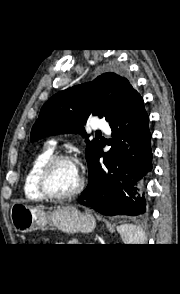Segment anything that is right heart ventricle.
<instances>
[{"mask_svg":"<svg viewBox=\"0 0 180 294\" xmlns=\"http://www.w3.org/2000/svg\"><path fill=\"white\" fill-rule=\"evenodd\" d=\"M53 156V149L46 148L37 154L31 162V165L25 175L23 190L27 197L43 200L44 197L40 194L37 188V174L41 166Z\"/></svg>","mask_w":180,"mask_h":294,"instance_id":"obj_1","label":"right heart ventricle"}]
</instances>
